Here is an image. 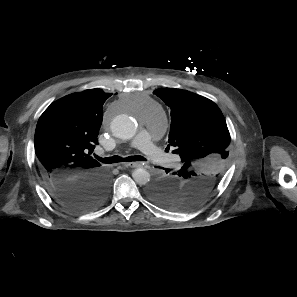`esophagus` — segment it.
I'll return each mask as SVG.
<instances>
[{"label": "esophagus", "instance_id": "34e87169", "mask_svg": "<svg viewBox=\"0 0 297 297\" xmlns=\"http://www.w3.org/2000/svg\"><path fill=\"white\" fill-rule=\"evenodd\" d=\"M125 166L132 167V168H138V167H142V163L130 162V163H126Z\"/></svg>", "mask_w": 297, "mask_h": 297}]
</instances>
